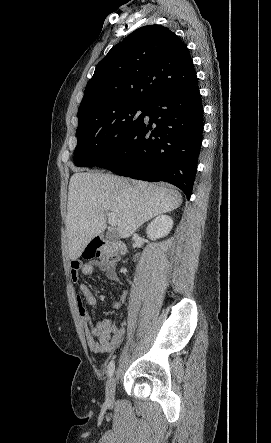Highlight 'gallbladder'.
<instances>
[{
  "instance_id": "1",
  "label": "gallbladder",
  "mask_w": 271,
  "mask_h": 443,
  "mask_svg": "<svg viewBox=\"0 0 271 443\" xmlns=\"http://www.w3.org/2000/svg\"><path fill=\"white\" fill-rule=\"evenodd\" d=\"M105 237H107V239H117L118 235L117 233H113V231H107Z\"/></svg>"
}]
</instances>
